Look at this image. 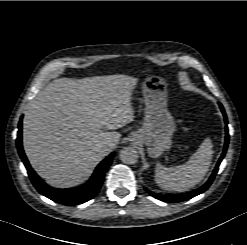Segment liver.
<instances>
[{"label":"liver","instance_id":"6515ba94","mask_svg":"<svg viewBox=\"0 0 247 245\" xmlns=\"http://www.w3.org/2000/svg\"><path fill=\"white\" fill-rule=\"evenodd\" d=\"M137 79L127 75L58 78L30 101L23 118L29 162L47 184L73 188L84 183L118 143L116 130L133 121L131 94Z\"/></svg>","mask_w":247,"mask_h":245}]
</instances>
